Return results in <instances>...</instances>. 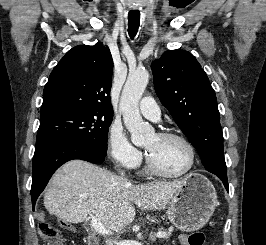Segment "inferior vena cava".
I'll list each match as a JSON object with an SVG mask.
<instances>
[{
  "label": "inferior vena cava",
  "mask_w": 266,
  "mask_h": 245,
  "mask_svg": "<svg viewBox=\"0 0 266 245\" xmlns=\"http://www.w3.org/2000/svg\"><path fill=\"white\" fill-rule=\"evenodd\" d=\"M122 177H125L124 173H121ZM106 245H112L111 241H106Z\"/></svg>",
  "instance_id": "602c4592"
}]
</instances>
